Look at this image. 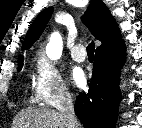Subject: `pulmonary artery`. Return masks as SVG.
<instances>
[{"label":"pulmonary artery","instance_id":"obj_1","mask_svg":"<svg viewBox=\"0 0 142 128\" xmlns=\"http://www.w3.org/2000/svg\"><path fill=\"white\" fill-rule=\"evenodd\" d=\"M70 54L72 58L77 62H83L86 59V50L85 47L81 44L75 45L71 49Z\"/></svg>","mask_w":142,"mask_h":128}]
</instances>
